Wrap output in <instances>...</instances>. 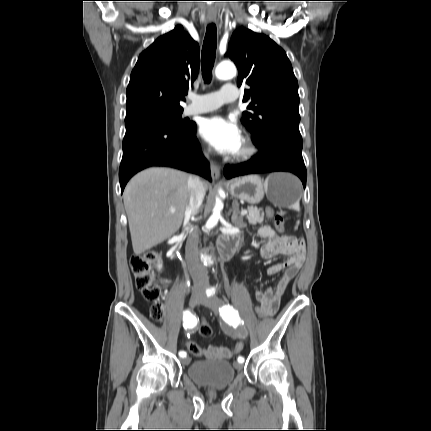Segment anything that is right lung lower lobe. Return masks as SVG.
<instances>
[{"mask_svg": "<svg viewBox=\"0 0 431 431\" xmlns=\"http://www.w3.org/2000/svg\"><path fill=\"white\" fill-rule=\"evenodd\" d=\"M195 133L194 122L184 127L150 123L127 129L119 171L121 193L134 174L152 166L177 168L211 181L210 168Z\"/></svg>", "mask_w": 431, "mask_h": 431, "instance_id": "98d812e1", "label": "right lung lower lobe"}]
</instances>
